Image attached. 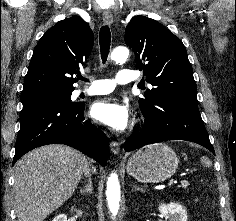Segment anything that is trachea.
Listing matches in <instances>:
<instances>
[{
	"mask_svg": "<svg viewBox=\"0 0 236 221\" xmlns=\"http://www.w3.org/2000/svg\"><path fill=\"white\" fill-rule=\"evenodd\" d=\"M99 43L101 50V58L103 63H105L109 54L110 43H111V32L108 26L101 27ZM78 79L88 81L83 76H78Z\"/></svg>",
	"mask_w": 236,
	"mask_h": 221,
	"instance_id": "3493384b",
	"label": "trachea"
}]
</instances>
